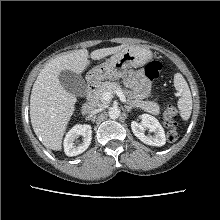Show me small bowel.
Segmentation results:
<instances>
[{
	"instance_id": "1",
	"label": "small bowel",
	"mask_w": 220,
	"mask_h": 220,
	"mask_svg": "<svg viewBox=\"0 0 220 220\" xmlns=\"http://www.w3.org/2000/svg\"><path fill=\"white\" fill-rule=\"evenodd\" d=\"M124 83L133 90V94L141 98H146L150 95L151 85L142 71L138 70L127 75L124 79Z\"/></svg>"
}]
</instances>
